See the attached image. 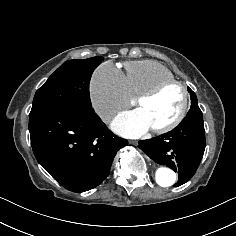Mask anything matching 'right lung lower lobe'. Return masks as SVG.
I'll list each match as a JSON object with an SVG mask.
<instances>
[{
    "mask_svg": "<svg viewBox=\"0 0 236 236\" xmlns=\"http://www.w3.org/2000/svg\"><path fill=\"white\" fill-rule=\"evenodd\" d=\"M29 131L37 161L73 192L102 183L117 151L128 144L92 108H63L32 116Z\"/></svg>",
    "mask_w": 236,
    "mask_h": 236,
    "instance_id": "obj_1",
    "label": "right lung lower lobe"
}]
</instances>
